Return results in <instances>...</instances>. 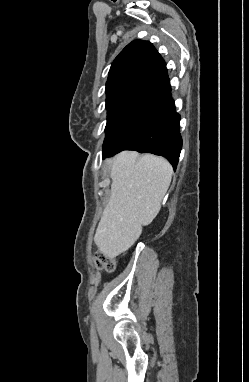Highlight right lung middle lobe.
<instances>
[{
    "mask_svg": "<svg viewBox=\"0 0 249 382\" xmlns=\"http://www.w3.org/2000/svg\"><path fill=\"white\" fill-rule=\"evenodd\" d=\"M150 105L151 103L143 101H124L106 107L108 112L104 145L127 130Z\"/></svg>",
    "mask_w": 249,
    "mask_h": 382,
    "instance_id": "dd1d6c3e",
    "label": "right lung middle lobe"
}]
</instances>
